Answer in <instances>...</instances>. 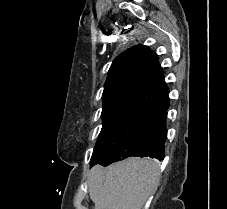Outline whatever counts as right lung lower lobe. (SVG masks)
<instances>
[{
    "label": "right lung lower lobe",
    "instance_id": "98d812e1",
    "mask_svg": "<svg viewBox=\"0 0 227 209\" xmlns=\"http://www.w3.org/2000/svg\"><path fill=\"white\" fill-rule=\"evenodd\" d=\"M168 106L169 97L154 106L147 123L133 137L111 153L101 165L107 166L128 157H151L163 160Z\"/></svg>",
    "mask_w": 227,
    "mask_h": 209
}]
</instances>
